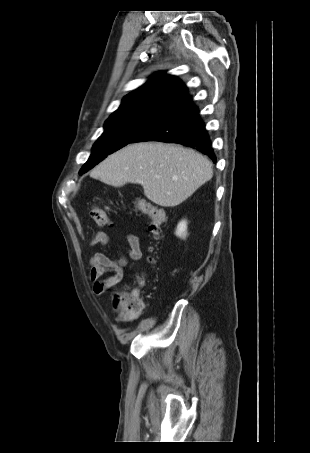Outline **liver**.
<instances>
[{
    "mask_svg": "<svg viewBox=\"0 0 310 453\" xmlns=\"http://www.w3.org/2000/svg\"><path fill=\"white\" fill-rule=\"evenodd\" d=\"M114 187L141 184L145 196L162 207H174L213 176L211 162L180 145L140 142L109 155L90 173Z\"/></svg>",
    "mask_w": 310,
    "mask_h": 453,
    "instance_id": "obj_1",
    "label": "liver"
}]
</instances>
